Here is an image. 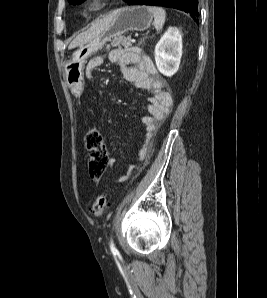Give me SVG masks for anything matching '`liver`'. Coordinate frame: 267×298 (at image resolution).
Instances as JSON below:
<instances>
[{
  "mask_svg": "<svg viewBox=\"0 0 267 298\" xmlns=\"http://www.w3.org/2000/svg\"><path fill=\"white\" fill-rule=\"evenodd\" d=\"M113 17H114V14L111 13L97 20L95 23L92 24V26L89 29H87L86 31L76 36V38H74V40L70 43L68 49H73L75 47L86 44L89 41H91L93 38L100 35L108 28L109 24L113 20Z\"/></svg>",
  "mask_w": 267,
  "mask_h": 298,
  "instance_id": "liver-1",
  "label": "liver"
}]
</instances>
